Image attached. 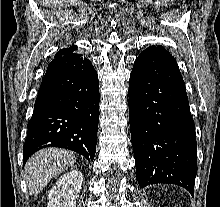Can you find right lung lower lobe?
I'll use <instances>...</instances> for the list:
<instances>
[{"mask_svg":"<svg viewBox=\"0 0 220 207\" xmlns=\"http://www.w3.org/2000/svg\"><path fill=\"white\" fill-rule=\"evenodd\" d=\"M99 121V83L91 62L78 54L55 56L34 105L24 160L46 147L75 151L93 161Z\"/></svg>","mask_w":220,"mask_h":207,"instance_id":"right-lung-lower-lobe-1","label":"right lung lower lobe"}]
</instances>
